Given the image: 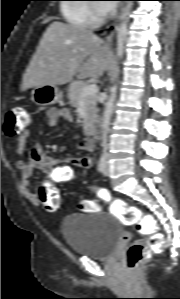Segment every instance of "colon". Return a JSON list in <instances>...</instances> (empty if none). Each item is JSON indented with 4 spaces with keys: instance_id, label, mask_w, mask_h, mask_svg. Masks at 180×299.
<instances>
[{
    "instance_id": "5ec220e1",
    "label": "colon",
    "mask_w": 180,
    "mask_h": 299,
    "mask_svg": "<svg viewBox=\"0 0 180 299\" xmlns=\"http://www.w3.org/2000/svg\"><path fill=\"white\" fill-rule=\"evenodd\" d=\"M30 123V114L25 107L17 106L8 110L4 131L14 136L25 129ZM97 195L110 203L111 212L126 226H134L137 233L144 238L134 241L128 248L125 259L128 267L132 268L149 258L153 253L162 252L165 248L163 235L159 232L157 220L134 205H129L121 198H114L107 190L96 189ZM39 199L47 211L53 212L59 208L60 193L53 184H44L39 189ZM79 209L86 213L98 212L100 206L92 200L80 202Z\"/></svg>"
}]
</instances>
